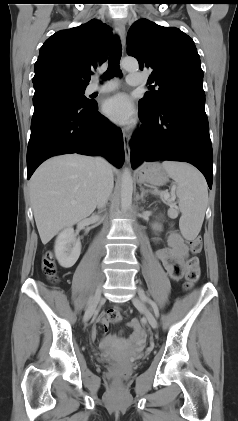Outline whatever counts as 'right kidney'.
Returning <instances> with one entry per match:
<instances>
[{"mask_svg": "<svg viewBox=\"0 0 238 421\" xmlns=\"http://www.w3.org/2000/svg\"><path fill=\"white\" fill-rule=\"evenodd\" d=\"M54 251L62 267L70 268L76 263L81 253V242L79 239H76L72 227L64 229L57 236Z\"/></svg>", "mask_w": 238, "mask_h": 421, "instance_id": "right-kidney-1", "label": "right kidney"}]
</instances>
